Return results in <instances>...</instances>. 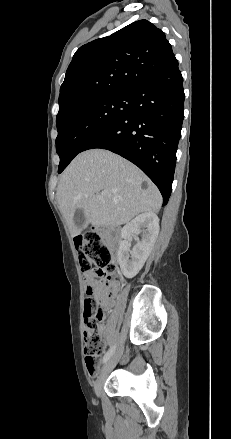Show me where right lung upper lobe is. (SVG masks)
Listing matches in <instances>:
<instances>
[{
  "mask_svg": "<svg viewBox=\"0 0 231 439\" xmlns=\"http://www.w3.org/2000/svg\"><path fill=\"white\" fill-rule=\"evenodd\" d=\"M177 59L162 30L139 20L81 46L60 88L59 112L101 95L133 94Z\"/></svg>",
  "mask_w": 231,
  "mask_h": 439,
  "instance_id": "1",
  "label": "right lung upper lobe"
}]
</instances>
